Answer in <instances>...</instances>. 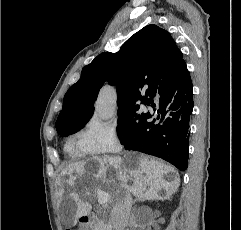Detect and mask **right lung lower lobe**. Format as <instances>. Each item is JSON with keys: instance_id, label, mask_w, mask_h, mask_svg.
Wrapping results in <instances>:
<instances>
[{"instance_id": "right-lung-lower-lobe-1", "label": "right lung lower lobe", "mask_w": 241, "mask_h": 230, "mask_svg": "<svg viewBox=\"0 0 241 230\" xmlns=\"http://www.w3.org/2000/svg\"><path fill=\"white\" fill-rule=\"evenodd\" d=\"M146 104L152 106L155 114L147 112L145 122L121 144L127 150L160 157L186 170L194 105L193 84L185 62L163 77Z\"/></svg>"}]
</instances>
